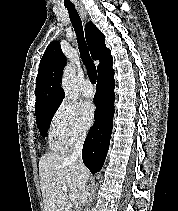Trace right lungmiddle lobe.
Segmentation results:
<instances>
[{"label":"right lung middle lobe","mask_w":178,"mask_h":211,"mask_svg":"<svg viewBox=\"0 0 178 211\" xmlns=\"http://www.w3.org/2000/svg\"><path fill=\"white\" fill-rule=\"evenodd\" d=\"M60 104L58 105H53L50 107H47L40 111L39 113L35 114L36 115V123L37 127L41 133L42 136H47V129L50 126L52 116L56 109L59 107Z\"/></svg>","instance_id":"obj_1"}]
</instances>
